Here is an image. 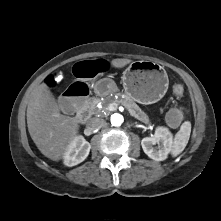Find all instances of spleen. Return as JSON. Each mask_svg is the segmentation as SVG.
<instances>
[{
  "mask_svg": "<svg viewBox=\"0 0 221 221\" xmlns=\"http://www.w3.org/2000/svg\"><path fill=\"white\" fill-rule=\"evenodd\" d=\"M191 133V123L189 121L184 122L180 130L177 132L172 145V156L176 157L179 155L187 146Z\"/></svg>",
  "mask_w": 221,
  "mask_h": 221,
  "instance_id": "3e777b00",
  "label": "spleen"
}]
</instances>
